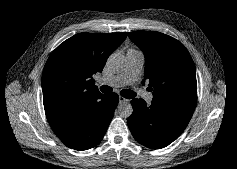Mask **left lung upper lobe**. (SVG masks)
Here are the masks:
<instances>
[{
    "label": "left lung upper lobe",
    "mask_w": 237,
    "mask_h": 169,
    "mask_svg": "<svg viewBox=\"0 0 237 169\" xmlns=\"http://www.w3.org/2000/svg\"><path fill=\"white\" fill-rule=\"evenodd\" d=\"M130 39L145 54V79H149L153 100L194 112L197 82L192 58L178 40L159 32L136 31Z\"/></svg>",
    "instance_id": "5c2ea615"
}]
</instances>
